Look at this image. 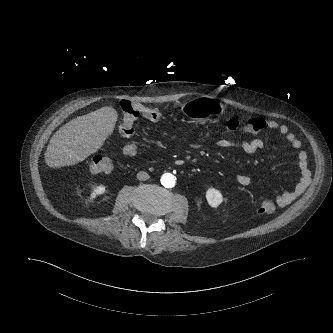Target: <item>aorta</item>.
Instances as JSON below:
<instances>
[{"mask_svg": "<svg viewBox=\"0 0 333 333\" xmlns=\"http://www.w3.org/2000/svg\"><path fill=\"white\" fill-rule=\"evenodd\" d=\"M161 183L166 188H171L175 185V178L172 174L166 173L162 176Z\"/></svg>", "mask_w": 333, "mask_h": 333, "instance_id": "aorta-1", "label": "aorta"}]
</instances>
